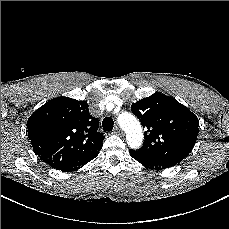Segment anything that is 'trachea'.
<instances>
[{
  "instance_id": "1",
  "label": "trachea",
  "mask_w": 229,
  "mask_h": 229,
  "mask_svg": "<svg viewBox=\"0 0 229 229\" xmlns=\"http://www.w3.org/2000/svg\"><path fill=\"white\" fill-rule=\"evenodd\" d=\"M114 127V122L111 117H105L102 121V128L106 131H112Z\"/></svg>"
}]
</instances>
